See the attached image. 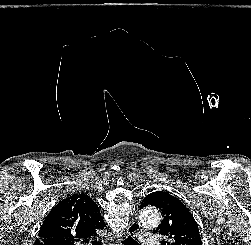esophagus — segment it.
I'll list each match as a JSON object with an SVG mask.
<instances>
[{"instance_id":"34e87169","label":"esophagus","mask_w":251,"mask_h":245,"mask_svg":"<svg viewBox=\"0 0 251 245\" xmlns=\"http://www.w3.org/2000/svg\"><path fill=\"white\" fill-rule=\"evenodd\" d=\"M140 230V224L137 221H131L127 227V234H135ZM125 235H120L117 237V244L121 245V241L124 240Z\"/></svg>"}]
</instances>
